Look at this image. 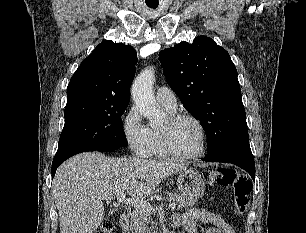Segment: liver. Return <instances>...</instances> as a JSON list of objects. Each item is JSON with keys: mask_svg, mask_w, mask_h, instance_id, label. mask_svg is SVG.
Instances as JSON below:
<instances>
[{"mask_svg": "<svg viewBox=\"0 0 306 233\" xmlns=\"http://www.w3.org/2000/svg\"><path fill=\"white\" fill-rule=\"evenodd\" d=\"M187 166L172 160L111 158L92 152L64 162L53 180L60 233H93L104 219L103 196L126 191L149 196L160 182Z\"/></svg>", "mask_w": 306, "mask_h": 233, "instance_id": "6515ba94", "label": "liver"}]
</instances>
